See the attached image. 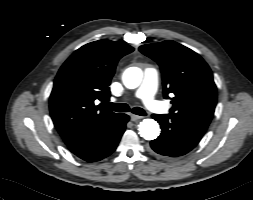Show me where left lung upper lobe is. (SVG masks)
<instances>
[{
  "label": "left lung upper lobe",
  "instance_id": "1",
  "mask_svg": "<svg viewBox=\"0 0 253 200\" xmlns=\"http://www.w3.org/2000/svg\"><path fill=\"white\" fill-rule=\"evenodd\" d=\"M139 50L161 68L164 98L173 104L170 114L208 126L217 95L207 63L191 49L170 40L142 45Z\"/></svg>",
  "mask_w": 253,
  "mask_h": 200
}]
</instances>
